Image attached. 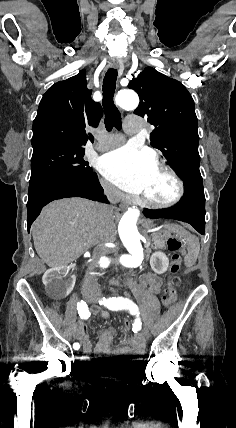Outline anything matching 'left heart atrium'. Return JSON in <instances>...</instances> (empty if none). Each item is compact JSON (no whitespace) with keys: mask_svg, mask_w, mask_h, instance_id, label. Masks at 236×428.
Returning <instances> with one entry per match:
<instances>
[{"mask_svg":"<svg viewBox=\"0 0 236 428\" xmlns=\"http://www.w3.org/2000/svg\"><path fill=\"white\" fill-rule=\"evenodd\" d=\"M157 162L147 153L133 147H121L102 160L100 171L105 178L121 189L141 194Z\"/></svg>","mask_w":236,"mask_h":428,"instance_id":"39dd6f15","label":"left heart atrium"}]
</instances>
